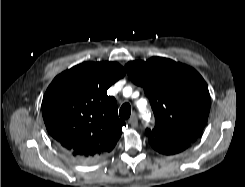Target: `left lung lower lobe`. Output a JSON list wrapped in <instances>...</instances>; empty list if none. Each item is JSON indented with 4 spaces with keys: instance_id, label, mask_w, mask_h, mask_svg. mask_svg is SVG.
I'll return each instance as SVG.
<instances>
[{
    "instance_id": "obj_1",
    "label": "left lung lower lobe",
    "mask_w": 245,
    "mask_h": 187,
    "mask_svg": "<svg viewBox=\"0 0 245 187\" xmlns=\"http://www.w3.org/2000/svg\"><path fill=\"white\" fill-rule=\"evenodd\" d=\"M149 143L159 153L171 155L185 150L192 142L162 143L149 139Z\"/></svg>"
}]
</instances>
